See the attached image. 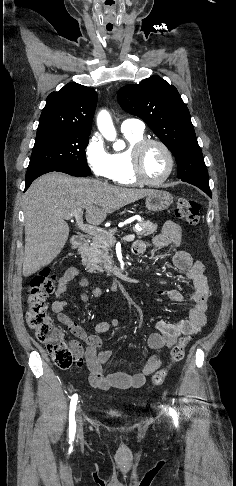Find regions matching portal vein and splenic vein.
Instances as JSON below:
<instances>
[{"instance_id":"portal-vein-and-splenic-vein-1","label":"portal vein and splenic vein","mask_w":236,"mask_h":486,"mask_svg":"<svg viewBox=\"0 0 236 486\" xmlns=\"http://www.w3.org/2000/svg\"><path fill=\"white\" fill-rule=\"evenodd\" d=\"M82 216H83L82 209H77V210H74L71 213H67V214L62 215V217L64 219H71V218L74 217L75 220H76V223H77V225H78V227L81 231H83V232H85L89 235H92L96 238H103L107 234V231H105L101 228H98L96 226L89 225V224H84ZM134 239H135L134 234H130V235L123 237L124 241H133Z\"/></svg>"}]
</instances>
